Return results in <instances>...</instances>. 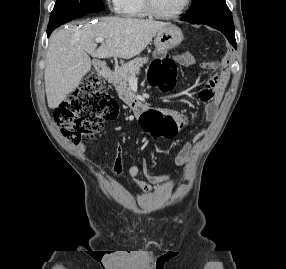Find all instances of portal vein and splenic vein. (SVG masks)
I'll list each match as a JSON object with an SVG mask.
<instances>
[{
    "label": "portal vein and splenic vein",
    "instance_id": "1",
    "mask_svg": "<svg viewBox=\"0 0 286 269\" xmlns=\"http://www.w3.org/2000/svg\"><path fill=\"white\" fill-rule=\"evenodd\" d=\"M95 41H96L97 43H102V42H104V39H102V38H96ZM132 80L136 81L137 78L134 77V78H132Z\"/></svg>",
    "mask_w": 286,
    "mask_h": 269
}]
</instances>
